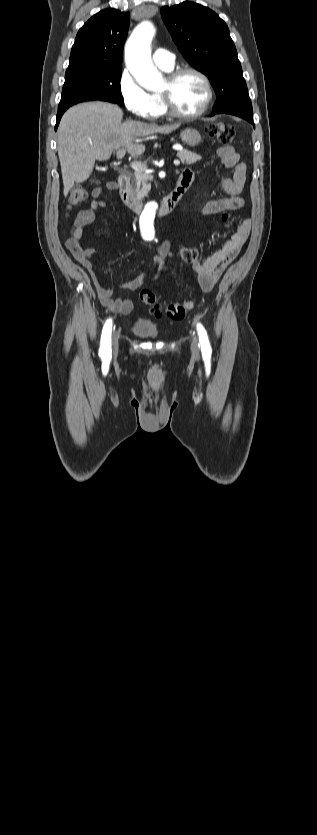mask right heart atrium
Wrapping results in <instances>:
<instances>
[{"label": "right heart atrium", "instance_id": "obj_1", "mask_svg": "<svg viewBox=\"0 0 317 835\" xmlns=\"http://www.w3.org/2000/svg\"><path fill=\"white\" fill-rule=\"evenodd\" d=\"M118 89L124 105L135 116L144 119L156 116V105L152 95L141 87L126 68L120 73Z\"/></svg>", "mask_w": 317, "mask_h": 835}]
</instances>
